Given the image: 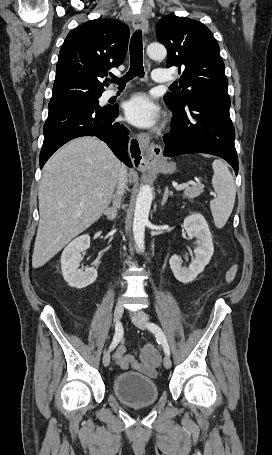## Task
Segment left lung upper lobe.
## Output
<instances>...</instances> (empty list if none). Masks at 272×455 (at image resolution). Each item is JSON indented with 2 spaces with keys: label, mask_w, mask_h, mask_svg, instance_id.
I'll return each mask as SVG.
<instances>
[{
  "label": "left lung upper lobe",
  "mask_w": 272,
  "mask_h": 455,
  "mask_svg": "<svg viewBox=\"0 0 272 455\" xmlns=\"http://www.w3.org/2000/svg\"><path fill=\"white\" fill-rule=\"evenodd\" d=\"M156 36L168 50L166 66L181 73L178 92L164 96L167 105L180 108L201 96H229L219 45L207 26L169 15L157 23Z\"/></svg>",
  "instance_id": "5c2ea615"
}]
</instances>
